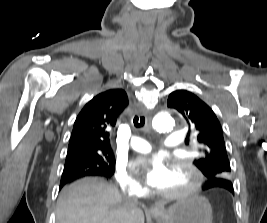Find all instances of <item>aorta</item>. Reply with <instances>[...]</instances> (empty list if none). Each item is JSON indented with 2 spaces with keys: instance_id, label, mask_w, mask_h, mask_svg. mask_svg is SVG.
<instances>
[{
  "instance_id": "1",
  "label": "aorta",
  "mask_w": 267,
  "mask_h": 223,
  "mask_svg": "<svg viewBox=\"0 0 267 223\" xmlns=\"http://www.w3.org/2000/svg\"><path fill=\"white\" fill-rule=\"evenodd\" d=\"M153 126L158 131H171L175 126V120L170 115L158 117L154 120Z\"/></svg>"
}]
</instances>
